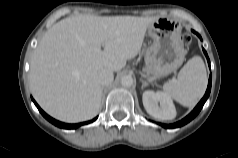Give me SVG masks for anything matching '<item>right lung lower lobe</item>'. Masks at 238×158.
Listing matches in <instances>:
<instances>
[{"label": "right lung lower lobe", "mask_w": 238, "mask_h": 158, "mask_svg": "<svg viewBox=\"0 0 238 158\" xmlns=\"http://www.w3.org/2000/svg\"><path fill=\"white\" fill-rule=\"evenodd\" d=\"M34 104L36 105V107L38 108V110L40 111V113L48 120L50 121L52 124L60 127V128H65V129H75L81 125H85V124H88L90 122H93L95 119H93L92 121H88V122H83V123H78V124H66V123H62V122H59L53 118H51L50 116H48L39 106L38 104L35 102V100L32 98Z\"/></svg>", "instance_id": "obj_1"}]
</instances>
